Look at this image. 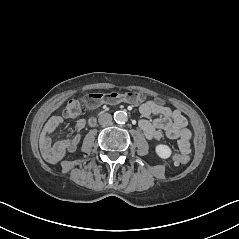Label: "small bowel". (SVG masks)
<instances>
[{
	"instance_id": "obj_1",
	"label": "small bowel",
	"mask_w": 239,
	"mask_h": 239,
	"mask_svg": "<svg viewBox=\"0 0 239 239\" xmlns=\"http://www.w3.org/2000/svg\"><path fill=\"white\" fill-rule=\"evenodd\" d=\"M87 107L95 108L96 106ZM140 112L145 118L154 115L158 116L153 121L148 119L139 120L138 124L147 139L159 140L162 138L163 132H165L168 138L177 140L181 154H189L191 131L187 127V119L180 110L171 109L156 101L149 100L141 104ZM62 122V116L54 115L49 118L41 132L40 150L43 158L51 164L57 163L67 152H74L76 150L80 142L78 132L85 126V120L78 119L75 124L77 133L70 138L58 141L52 145L51 136Z\"/></svg>"
}]
</instances>
